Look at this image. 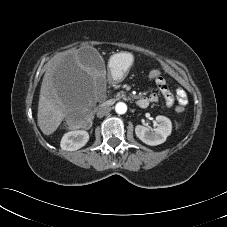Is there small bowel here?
Listing matches in <instances>:
<instances>
[{
    "label": "small bowel",
    "mask_w": 227,
    "mask_h": 227,
    "mask_svg": "<svg viewBox=\"0 0 227 227\" xmlns=\"http://www.w3.org/2000/svg\"><path fill=\"white\" fill-rule=\"evenodd\" d=\"M155 83L158 87V89L160 90V92L162 93L165 102H166V106L167 107H172L175 103V101L178 103L177 107H184L187 104V95L186 92L179 88L176 91V97L172 94V92L170 91L166 80L162 77L159 76L156 80ZM146 99H148L149 103H156L158 101V96L155 93H151L148 97H145Z\"/></svg>",
    "instance_id": "1"
}]
</instances>
